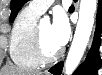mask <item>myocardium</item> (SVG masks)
<instances>
[{"instance_id": "f54148a6", "label": "myocardium", "mask_w": 102, "mask_h": 75, "mask_svg": "<svg viewBox=\"0 0 102 75\" xmlns=\"http://www.w3.org/2000/svg\"><path fill=\"white\" fill-rule=\"evenodd\" d=\"M32 46H33L34 56L40 64L51 63L54 60H56L61 54L60 49L51 55H48L46 53L42 45L40 25H36L33 35Z\"/></svg>"}]
</instances>
